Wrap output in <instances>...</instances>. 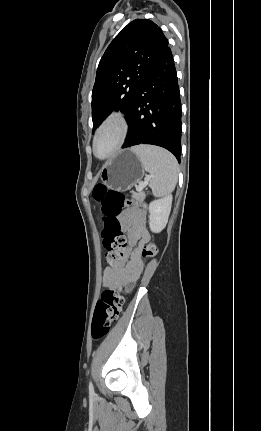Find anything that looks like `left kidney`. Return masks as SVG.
<instances>
[{
  "instance_id": "1",
  "label": "left kidney",
  "mask_w": 261,
  "mask_h": 431,
  "mask_svg": "<svg viewBox=\"0 0 261 431\" xmlns=\"http://www.w3.org/2000/svg\"><path fill=\"white\" fill-rule=\"evenodd\" d=\"M172 196L154 200L149 204V227L154 233L161 232L168 222L171 211Z\"/></svg>"
}]
</instances>
